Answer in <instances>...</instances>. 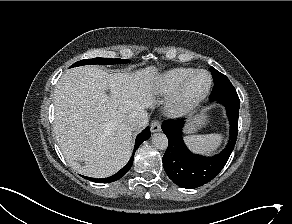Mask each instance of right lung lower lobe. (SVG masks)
Segmentation results:
<instances>
[{
  "mask_svg": "<svg viewBox=\"0 0 292 224\" xmlns=\"http://www.w3.org/2000/svg\"><path fill=\"white\" fill-rule=\"evenodd\" d=\"M151 136L150 134V129L149 127H146L136 138V142H135V147H134V150H133V154L129 160V162L120 170L118 171L115 175H112L110 177H107V178H101V179H95V178H90V177H85L83 176L84 178L90 180V181H93V182H97V183H110V182H114L118 179H120L121 177H123L128 171L129 169L131 168L132 164H133V157H134V153L135 151L137 150V148L139 147V145L149 139Z\"/></svg>",
  "mask_w": 292,
  "mask_h": 224,
  "instance_id": "98d812e1",
  "label": "right lung lower lobe"
}]
</instances>
